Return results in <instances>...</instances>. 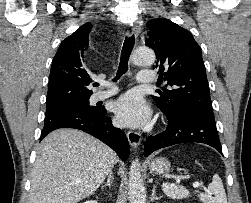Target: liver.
<instances>
[{
    "mask_svg": "<svg viewBox=\"0 0 251 203\" xmlns=\"http://www.w3.org/2000/svg\"><path fill=\"white\" fill-rule=\"evenodd\" d=\"M116 162L114 151L96 138L55 130L37 148L29 203H77L99 188Z\"/></svg>",
    "mask_w": 251,
    "mask_h": 203,
    "instance_id": "liver-1",
    "label": "liver"
}]
</instances>
